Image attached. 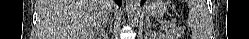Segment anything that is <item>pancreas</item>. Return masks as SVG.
<instances>
[{"label":"pancreas","instance_id":"1","mask_svg":"<svg viewBox=\"0 0 249 39\" xmlns=\"http://www.w3.org/2000/svg\"><path fill=\"white\" fill-rule=\"evenodd\" d=\"M167 32L171 35V36H180L181 30L179 28H170L167 30Z\"/></svg>","mask_w":249,"mask_h":39}]
</instances>
